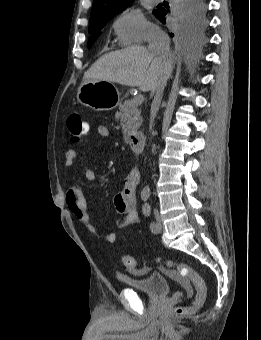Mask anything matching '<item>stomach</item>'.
<instances>
[{
  "instance_id": "stomach-1",
  "label": "stomach",
  "mask_w": 261,
  "mask_h": 340,
  "mask_svg": "<svg viewBox=\"0 0 261 340\" xmlns=\"http://www.w3.org/2000/svg\"><path fill=\"white\" fill-rule=\"evenodd\" d=\"M121 93L109 81L90 79L81 84L77 101L94 111H109L120 103Z\"/></svg>"
}]
</instances>
